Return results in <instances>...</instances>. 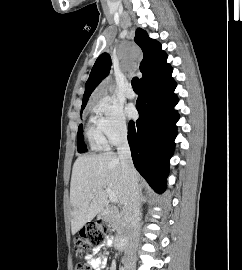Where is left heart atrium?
Returning <instances> with one entry per match:
<instances>
[{"label": "left heart atrium", "mask_w": 242, "mask_h": 270, "mask_svg": "<svg viewBox=\"0 0 242 270\" xmlns=\"http://www.w3.org/2000/svg\"><path fill=\"white\" fill-rule=\"evenodd\" d=\"M126 113L128 115V117L130 118H134L136 116V109L134 107V105L130 104L126 107Z\"/></svg>", "instance_id": "left-heart-atrium-1"}]
</instances>
